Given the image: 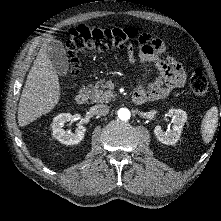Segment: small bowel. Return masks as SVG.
<instances>
[{"mask_svg": "<svg viewBox=\"0 0 221 221\" xmlns=\"http://www.w3.org/2000/svg\"><path fill=\"white\" fill-rule=\"evenodd\" d=\"M139 44L137 53L132 49L128 50L129 61L151 64L157 72V78L152 82L140 84L137 92L143 93L148 101H153L163 99L172 90L184 86L186 73L183 67L170 57H161L167 53V43L163 39L143 33L139 37Z\"/></svg>", "mask_w": 221, "mask_h": 221, "instance_id": "1", "label": "small bowel"}]
</instances>
